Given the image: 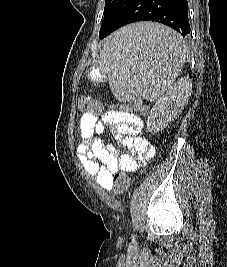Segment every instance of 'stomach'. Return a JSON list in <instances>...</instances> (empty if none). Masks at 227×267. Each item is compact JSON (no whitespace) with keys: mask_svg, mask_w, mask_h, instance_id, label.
Returning <instances> with one entry per match:
<instances>
[{"mask_svg":"<svg viewBox=\"0 0 227 267\" xmlns=\"http://www.w3.org/2000/svg\"><path fill=\"white\" fill-rule=\"evenodd\" d=\"M89 76L92 80H99L102 79L104 76L101 75L99 69L96 67H92L89 72Z\"/></svg>","mask_w":227,"mask_h":267,"instance_id":"1","label":"stomach"}]
</instances>
